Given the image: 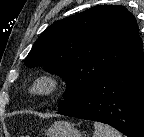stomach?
Returning a JSON list of instances; mask_svg holds the SVG:
<instances>
[{
	"mask_svg": "<svg viewBox=\"0 0 144 137\" xmlns=\"http://www.w3.org/2000/svg\"><path fill=\"white\" fill-rule=\"evenodd\" d=\"M45 134L47 137H83L72 124L64 121L55 122Z\"/></svg>",
	"mask_w": 144,
	"mask_h": 137,
	"instance_id": "0dacf381",
	"label": "stomach"
}]
</instances>
